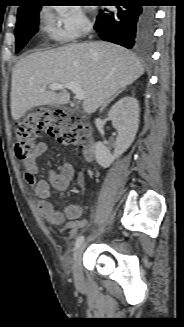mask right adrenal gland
<instances>
[{
    "instance_id": "right-adrenal-gland-1",
    "label": "right adrenal gland",
    "mask_w": 184,
    "mask_h": 327,
    "mask_svg": "<svg viewBox=\"0 0 184 327\" xmlns=\"http://www.w3.org/2000/svg\"><path fill=\"white\" fill-rule=\"evenodd\" d=\"M125 90V88L124 89H122V90H120V91H118V92H116L111 98H109L103 105H102V107L100 108V112H102L107 106H108V104L111 102V101H113L119 94H121L123 91Z\"/></svg>"
}]
</instances>
